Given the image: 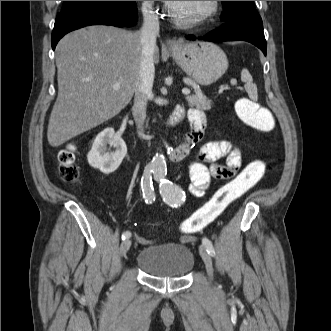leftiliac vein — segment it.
Listing matches in <instances>:
<instances>
[{"mask_svg":"<svg viewBox=\"0 0 331 331\" xmlns=\"http://www.w3.org/2000/svg\"><path fill=\"white\" fill-rule=\"evenodd\" d=\"M199 253L205 263L206 271L209 276V278L213 279V266H212V259L210 257V254L207 252V249L204 245L199 246Z\"/></svg>","mask_w":331,"mask_h":331,"instance_id":"left-iliac-vein-1","label":"left iliac vein"}]
</instances>
